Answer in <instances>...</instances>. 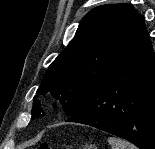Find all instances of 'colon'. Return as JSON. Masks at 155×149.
Here are the masks:
<instances>
[{"label":"colon","instance_id":"5ec220e1","mask_svg":"<svg viewBox=\"0 0 155 149\" xmlns=\"http://www.w3.org/2000/svg\"><path fill=\"white\" fill-rule=\"evenodd\" d=\"M52 147H51V145L49 144V143H41L38 147H37V149H51Z\"/></svg>","mask_w":155,"mask_h":149}]
</instances>
